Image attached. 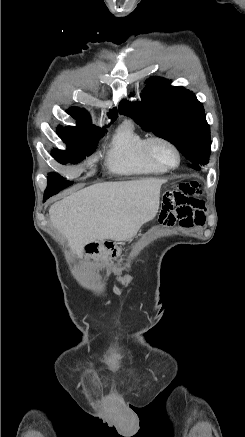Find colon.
<instances>
[{"label": "colon", "mask_w": 245, "mask_h": 437, "mask_svg": "<svg viewBox=\"0 0 245 437\" xmlns=\"http://www.w3.org/2000/svg\"><path fill=\"white\" fill-rule=\"evenodd\" d=\"M166 225V224H164ZM99 257L107 262H113L119 258V251L113 245H105L99 252Z\"/></svg>", "instance_id": "5ec220e1"}]
</instances>
